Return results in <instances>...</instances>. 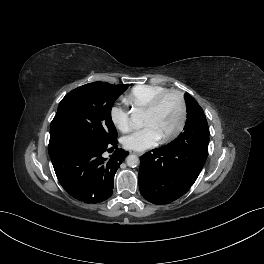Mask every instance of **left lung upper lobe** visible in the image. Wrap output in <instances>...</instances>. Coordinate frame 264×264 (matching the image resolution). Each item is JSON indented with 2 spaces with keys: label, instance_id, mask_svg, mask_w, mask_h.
Here are the masks:
<instances>
[{
  "label": "left lung upper lobe",
  "instance_id": "1",
  "mask_svg": "<svg viewBox=\"0 0 264 264\" xmlns=\"http://www.w3.org/2000/svg\"><path fill=\"white\" fill-rule=\"evenodd\" d=\"M185 100L187 106V120L184 132L171 143L181 140V136L187 135V132L194 133L199 129H203L208 126L203 109L199 106L197 101L188 93L185 94Z\"/></svg>",
  "mask_w": 264,
  "mask_h": 264
}]
</instances>
